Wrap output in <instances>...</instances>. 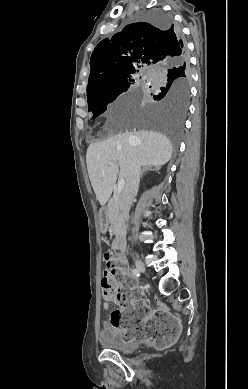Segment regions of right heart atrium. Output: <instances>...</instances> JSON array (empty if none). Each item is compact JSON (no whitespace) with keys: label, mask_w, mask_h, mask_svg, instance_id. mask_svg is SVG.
Listing matches in <instances>:
<instances>
[{"label":"right heart atrium","mask_w":248,"mask_h":389,"mask_svg":"<svg viewBox=\"0 0 248 389\" xmlns=\"http://www.w3.org/2000/svg\"><path fill=\"white\" fill-rule=\"evenodd\" d=\"M104 116L108 121H113L116 117V104L115 102L108 103L104 110Z\"/></svg>","instance_id":"obj_1"}]
</instances>
